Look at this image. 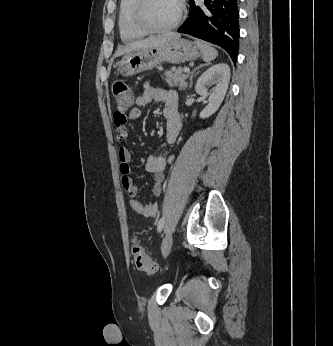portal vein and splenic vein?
Listing matches in <instances>:
<instances>
[{"instance_id": "18ae733b", "label": "portal vein and splenic vein", "mask_w": 333, "mask_h": 346, "mask_svg": "<svg viewBox=\"0 0 333 346\" xmlns=\"http://www.w3.org/2000/svg\"><path fill=\"white\" fill-rule=\"evenodd\" d=\"M183 71L186 72V73H188V72H190V69H189V67H185V68L183 69Z\"/></svg>"}]
</instances>
